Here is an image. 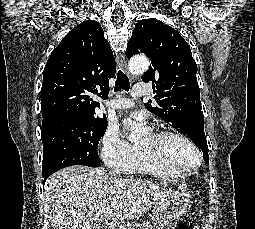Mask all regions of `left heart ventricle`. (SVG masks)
<instances>
[{
    "label": "left heart ventricle",
    "instance_id": "left-heart-ventricle-1",
    "mask_svg": "<svg viewBox=\"0 0 255 229\" xmlns=\"http://www.w3.org/2000/svg\"><path fill=\"white\" fill-rule=\"evenodd\" d=\"M140 147L153 151L165 163L177 169L194 166L198 161L195 151L177 137L169 136L158 139L150 134L140 144Z\"/></svg>",
    "mask_w": 255,
    "mask_h": 229
}]
</instances>
